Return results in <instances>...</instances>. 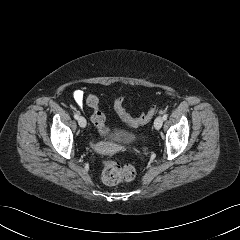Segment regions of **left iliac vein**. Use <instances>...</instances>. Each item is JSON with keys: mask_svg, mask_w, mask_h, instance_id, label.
I'll list each match as a JSON object with an SVG mask.
<instances>
[{"mask_svg": "<svg viewBox=\"0 0 240 240\" xmlns=\"http://www.w3.org/2000/svg\"><path fill=\"white\" fill-rule=\"evenodd\" d=\"M163 125V117L158 116L154 121V127L156 130H159Z\"/></svg>", "mask_w": 240, "mask_h": 240, "instance_id": "1", "label": "left iliac vein"}]
</instances>
